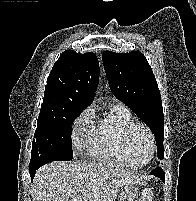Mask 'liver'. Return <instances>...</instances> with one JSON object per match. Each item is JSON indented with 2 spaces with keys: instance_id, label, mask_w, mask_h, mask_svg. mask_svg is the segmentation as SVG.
<instances>
[{
  "instance_id": "obj_1",
  "label": "liver",
  "mask_w": 196,
  "mask_h": 201,
  "mask_svg": "<svg viewBox=\"0 0 196 201\" xmlns=\"http://www.w3.org/2000/svg\"><path fill=\"white\" fill-rule=\"evenodd\" d=\"M141 184L134 173L111 162H51L35 174L33 201H115L121 187Z\"/></svg>"
}]
</instances>
